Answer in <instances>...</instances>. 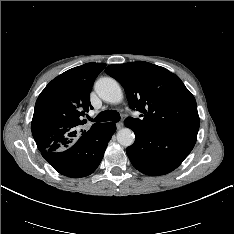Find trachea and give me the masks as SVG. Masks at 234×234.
Wrapping results in <instances>:
<instances>
[{
    "instance_id": "1",
    "label": "trachea",
    "mask_w": 234,
    "mask_h": 234,
    "mask_svg": "<svg viewBox=\"0 0 234 234\" xmlns=\"http://www.w3.org/2000/svg\"><path fill=\"white\" fill-rule=\"evenodd\" d=\"M120 120V114L115 110H106L100 112L95 119L94 122H105V121H113L118 122Z\"/></svg>"
}]
</instances>
